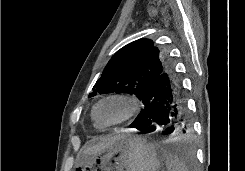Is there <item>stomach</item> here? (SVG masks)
I'll list each match as a JSON object with an SVG mask.
<instances>
[{
  "mask_svg": "<svg viewBox=\"0 0 245 171\" xmlns=\"http://www.w3.org/2000/svg\"><path fill=\"white\" fill-rule=\"evenodd\" d=\"M163 160L156 145L140 136L121 134L111 147L83 156L74 171H159Z\"/></svg>",
  "mask_w": 245,
  "mask_h": 171,
  "instance_id": "obj_1",
  "label": "stomach"
}]
</instances>
